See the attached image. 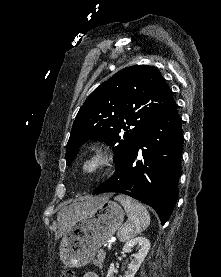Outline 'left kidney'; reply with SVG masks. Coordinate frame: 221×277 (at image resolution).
Instances as JSON below:
<instances>
[{
	"label": "left kidney",
	"instance_id": "5707ae66",
	"mask_svg": "<svg viewBox=\"0 0 221 277\" xmlns=\"http://www.w3.org/2000/svg\"><path fill=\"white\" fill-rule=\"evenodd\" d=\"M132 248L137 250V253L134 255V259L131 260L128 265V270L125 272L124 277H134L145 257L147 256L150 249V241L143 237L139 236L128 240L123 246V252L128 253ZM116 268L114 263H111L110 268L107 273V277H115Z\"/></svg>",
	"mask_w": 221,
	"mask_h": 277
}]
</instances>
